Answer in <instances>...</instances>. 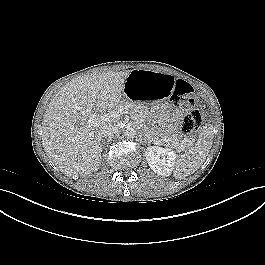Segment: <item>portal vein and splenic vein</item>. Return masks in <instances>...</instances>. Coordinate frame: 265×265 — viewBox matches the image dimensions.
Masks as SVG:
<instances>
[{
    "instance_id": "portal-vein-and-splenic-vein-1",
    "label": "portal vein and splenic vein",
    "mask_w": 265,
    "mask_h": 265,
    "mask_svg": "<svg viewBox=\"0 0 265 265\" xmlns=\"http://www.w3.org/2000/svg\"><path fill=\"white\" fill-rule=\"evenodd\" d=\"M121 114H123L122 110H113L110 113H107L101 116L97 115L96 113H93L89 116L87 125L89 127H97L110 120L118 119Z\"/></svg>"
}]
</instances>
